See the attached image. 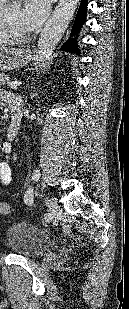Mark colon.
Listing matches in <instances>:
<instances>
[{
	"instance_id": "colon-1",
	"label": "colon",
	"mask_w": 129,
	"mask_h": 309,
	"mask_svg": "<svg viewBox=\"0 0 129 309\" xmlns=\"http://www.w3.org/2000/svg\"><path fill=\"white\" fill-rule=\"evenodd\" d=\"M10 206L9 204L5 202H0V213L1 214H8L10 212Z\"/></svg>"
}]
</instances>
